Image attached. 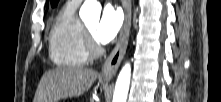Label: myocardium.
Wrapping results in <instances>:
<instances>
[{
  "mask_svg": "<svg viewBox=\"0 0 221 102\" xmlns=\"http://www.w3.org/2000/svg\"><path fill=\"white\" fill-rule=\"evenodd\" d=\"M84 38H85V46L89 56L95 57L98 56L101 52L99 45L93 38L91 31L84 26Z\"/></svg>",
  "mask_w": 221,
  "mask_h": 102,
  "instance_id": "f54148a6",
  "label": "myocardium"
}]
</instances>
